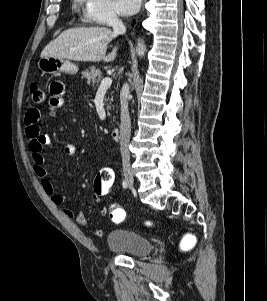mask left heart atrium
I'll list each match as a JSON object with an SVG mask.
<instances>
[{"label": "left heart atrium", "mask_w": 267, "mask_h": 301, "mask_svg": "<svg viewBox=\"0 0 267 301\" xmlns=\"http://www.w3.org/2000/svg\"><path fill=\"white\" fill-rule=\"evenodd\" d=\"M115 3L120 14L132 15L138 11L141 0H116Z\"/></svg>", "instance_id": "39dd6f15"}]
</instances>
